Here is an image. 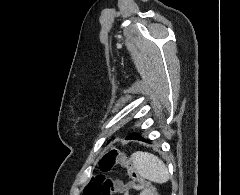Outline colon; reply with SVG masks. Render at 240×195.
<instances>
[{
    "instance_id": "5ec220e1",
    "label": "colon",
    "mask_w": 240,
    "mask_h": 195,
    "mask_svg": "<svg viewBox=\"0 0 240 195\" xmlns=\"http://www.w3.org/2000/svg\"><path fill=\"white\" fill-rule=\"evenodd\" d=\"M100 165L103 170H111L116 165L125 169L127 175L135 180V184L149 195H156V189L151 183H148L144 177L135 168L132 163L127 162L125 154H120L116 150L104 154L100 159ZM123 191L122 184L102 175L93 176L85 189V195H113L120 194Z\"/></svg>"
}]
</instances>
